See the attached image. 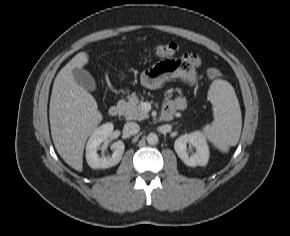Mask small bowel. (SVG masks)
Instances as JSON below:
<instances>
[{"instance_id":"c3829d8e","label":"small bowel","mask_w":290,"mask_h":236,"mask_svg":"<svg viewBox=\"0 0 290 236\" xmlns=\"http://www.w3.org/2000/svg\"><path fill=\"white\" fill-rule=\"evenodd\" d=\"M201 60L195 53L183 54L175 60H165L143 71L140 75V84L148 89H158L166 81L178 79L190 85H194L198 80V68ZM187 105L183 95L175 98H166L162 111L183 110Z\"/></svg>"}]
</instances>
